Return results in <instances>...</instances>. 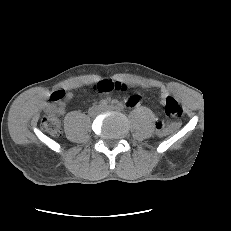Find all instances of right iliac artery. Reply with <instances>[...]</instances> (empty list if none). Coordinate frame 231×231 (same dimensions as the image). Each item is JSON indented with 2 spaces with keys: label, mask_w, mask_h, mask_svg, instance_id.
Returning <instances> with one entry per match:
<instances>
[{
  "label": "right iliac artery",
  "mask_w": 231,
  "mask_h": 231,
  "mask_svg": "<svg viewBox=\"0 0 231 231\" xmlns=\"http://www.w3.org/2000/svg\"><path fill=\"white\" fill-rule=\"evenodd\" d=\"M113 103H117V101H113ZM107 105H108V102L106 101V100H101L100 101V106L101 107H107Z\"/></svg>",
  "instance_id": "obj_1"
}]
</instances>
